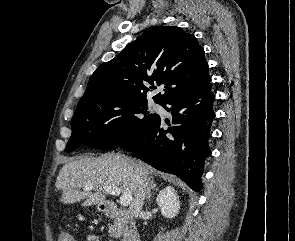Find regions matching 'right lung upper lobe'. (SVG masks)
I'll use <instances>...</instances> for the list:
<instances>
[{
	"mask_svg": "<svg viewBox=\"0 0 295 241\" xmlns=\"http://www.w3.org/2000/svg\"><path fill=\"white\" fill-rule=\"evenodd\" d=\"M208 70L194 35L175 26L152 27L95 70L79 102L113 97L147 102L152 85L165 84L164 93L153 97L163 104L178 93L207 84Z\"/></svg>",
	"mask_w": 295,
	"mask_h": 241,
	"instance_id": "cb5924a9",
	"label": "right lung upper lobe"
}]
</instances>
